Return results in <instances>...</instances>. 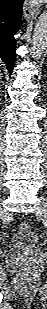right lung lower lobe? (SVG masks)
Segmentation results:
<instances>
[{"mask_svg":"<svg viewBox=\"0 0 47 309\" xmlns=\"http://www.w3.org/2000/svg\"><path fill=\"white\" fill-rule=\"evenodd\" d=\"M24 0H0V58L6 64L9 76L16 61L14 35L20 28Z\"/></svg>","mask_w":47,"mask_h":309,"instance_id":"right-lung-lower-lobe-1","label":"right lung lower lobe"}]
</instances>
